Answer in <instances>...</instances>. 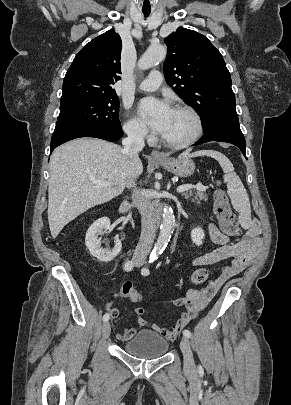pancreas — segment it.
<instances>
[{
    "label": "pancreas",
    "instance_id": "obj_1",
    "mask_svg": "<svg viewBox=\"0 0 291 405\" xmlns=\"http://www.w3.org/2000/svg\"><path fill=\"white\" fill-rule=\"evenodd\" d=\"M183 196L186 199H188L189 197H194V199H192V201L193 202L197 201V203H199V201H207L208 200V196L203 192H197L195 194H193V193H190V194L184 193Z\"/></svg>",
    "mask_w": 291,
    "mask_h": 405
}]
</instances>
